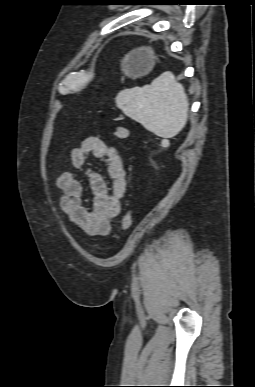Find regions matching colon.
I'll return each mask as SVG.
<instances>
[{
    "instance_id": "obj_1",
    "label": "colon",
    "mask_w": 255,
    "mask_h": 387,
    "mask_svg": "<svg viewBox=\"0 0 255 387\" xmlns=\"http://www.w3.org/2000/svg\"><path fill=\"white\" fill-rule=\"evenodd\" d=\"M114 135L119 140H126L129 137V130L127 127L119 125L114 130ZM133 223V214L131 211H127L121 220V229L127 230Z\"/></svg>"
}]
</instances>
